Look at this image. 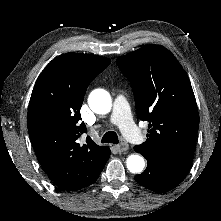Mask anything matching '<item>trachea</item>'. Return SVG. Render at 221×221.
<instances>
[{
  "instance_id": "obj_1",
  "label": "trachea",
  "mask_w": 221,
  "mask_h": 221,
  "mask_svg": "<svg viewBox=\"0 0 221 221\" xmlns=\"http://www.w3.org/2000/svg\"><path fill=\"white\" fill-rule=\"evenodd\" d=\"M101 142L102 143L118 144L119 140H118V136H117L116 132L109 131L103 135Z\"/></svg>"
}]
</instances>
